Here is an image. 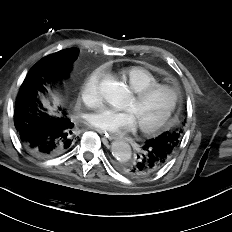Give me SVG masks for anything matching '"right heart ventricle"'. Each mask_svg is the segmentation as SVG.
I'll return each instance as SVG.
<instances>
[{"label": "right heart ventricle", "instance_id": "obj_1", "mask_svg": "<svg viewBox=\"0 0 232 232\" xmlns=\"http://www.w3.org/2000/svg\"><path fill=\"white\" fill-rule=\"evenodd\" d=\"M121 77L134 92L159 83L154 74L149 70L138 66L123 69Z\"/></svg>", "mask_w": 232, "mask_h": 232}]
</instances>
